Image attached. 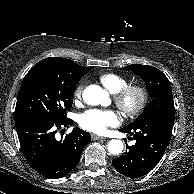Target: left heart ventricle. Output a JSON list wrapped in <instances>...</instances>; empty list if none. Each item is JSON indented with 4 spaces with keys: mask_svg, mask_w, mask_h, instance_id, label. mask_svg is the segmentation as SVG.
<instances>
[{
    "mask_svg": "<svg viewBox=\"0 0 194 194\" xmlns=\"http://www.w3.org/2000/svg\"><path fill=\"white\" fill-rule=\"evenodd\" d=\"M135 100H136V97L133 95V96H131V98H130V102L131 103H134L135 102Z\"/></svg>",
    "mask_w": 194,
    "mask_h": 194,
    "instance_id": "1",
    "label": "left heart ventricle"
}]
</instances>
